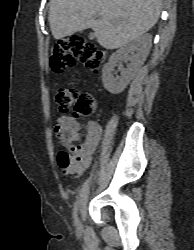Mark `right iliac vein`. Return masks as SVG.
I'll use <instances>...</instances> for the list:
<instances>
[{
    "mask_svg": "<svg viewBox=\"0 0 194 250\" xmlns=\"http://www.w3.org/2000/svg\"><path fill=\"white\" fill-rule=\"evenodd\" d=\"M76 230H77L78 232L81 231V222H80V219H79V218H77Z\"/></svg>",
    "mask_w": 194,
    "mask_h": 250,
    "instance_id": "obj_1",
    "label": "right iliac vein"
}]
</instances>
